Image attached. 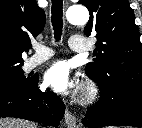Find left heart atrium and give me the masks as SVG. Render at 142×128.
<instances>
[{"label":"left heart atrium","mask_w":142,"mask_h":128,"mask_svg":"<svg viewBox=\"0 0 142 128\" xmlns=\"http://www.w3.org/2000/svg\"><path fill=\"white\" fill-rule=\"evenodd\" d=\"M47 86L60 93L68 92L74 85L71 70L67 63L59 61L54 63L44 75Z\"/></svg>","instance_id":"1"}]
</instances>
